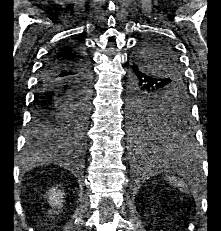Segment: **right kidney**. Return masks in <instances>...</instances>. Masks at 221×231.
I'll return each mask as SVG.
<instances>
[{
    "mask_svg": "<svg viewBox=\"0 0 221 231\" xmlns=\"http://www.w3.org/2000/svg\"><path fill=\"white\" fill-rule=\"evenodd\" d=\"M48 199H49V204L50 206L53 207H57L58 209H60L62 207V202H63V197H64V193L57 190V188H51L48 193H47ZM50 213L51 210H50Z\"/></svg>",
    "mask_w": 221,
    "mask_h": 231,
    "instance_id": "ca27d5eb",
    "label": "right kidney"
}]
</instances>
